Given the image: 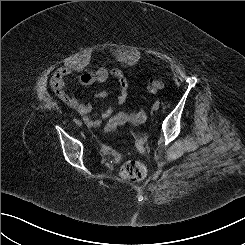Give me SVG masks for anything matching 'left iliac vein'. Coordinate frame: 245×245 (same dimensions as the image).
Returning a JSON list of instances; mask_svg holds the SVG:
<instances>
[{"label": "left iliac vein", "mask_w": 245, "mask_h": 245, "mask_svg": "<svg viewBox=\"0 0 245 245\" xmlns=\"http://www.w3.org/2000/svg\"><path fill=\"white\" fill-rule=\"evenodd\" d=\"M152 109H153L154 111L158 110V109H159V105L155 103V104L152 106Z\"/></svg>", "instance_id": "left-iliac-vein-1"}]
</instances>
